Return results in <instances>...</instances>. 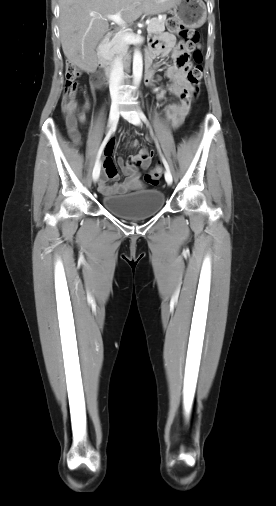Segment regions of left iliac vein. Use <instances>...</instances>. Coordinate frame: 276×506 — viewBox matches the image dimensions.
<instances>
[{
    "label": "left iliac vein",
    "instance_id": "4c4485c4",
    "mask_svg": "<svg viewBox=\"0 0 276 506\" xmlns=\"http://www.w3.org/2000/svg\"><path fill=\"white\" fill-rule=\"evenodd\" d=\"M125 118L132 124L134 125H140L141 123V120H140V116L137 112H133L132 114L130 115H126ZM165 179L167 181L168 184H172V175L169 171L166 170L165 172Z\"/></svg>",
    "mask_w": 276,
    "mask_h": 506
}]
</instances>
